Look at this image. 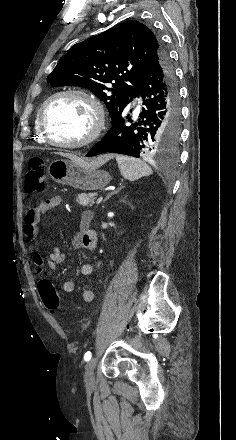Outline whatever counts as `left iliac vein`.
I'll list each match as a JSON object with an SVG mask.
<instances>
[{
  "instance_id": "4c4485c4",
  "label": "left iliac vein",
  "mask_w": 236,
  "mask_h": 440,
  "mask_svg": "<svg viewBox=\"0 0 236 440\" xmlns=\"http://www.w3.org/2000/svg\"><path fill=\"white\" fill-rule=\"evenodd\" d=\"M97 360L96 358H92L87 364L85 368V385L88 389H92L95 384L94 379V369L96 366Z\"/></svg>"
}]
</instances>
